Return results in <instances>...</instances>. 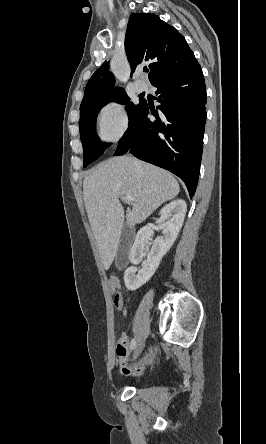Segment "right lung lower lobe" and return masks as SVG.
Instances as JSON below:
<instances>
[{
  "label": "right lung lower lobe",
  "instance_id": "1",
  "mask_svg": "<svg viewBox=\"0 0 266 444\" xmlns=\"http://www.w3.org/2000/svg\"><path fill=\"white\" fill-rule=\"evenodd\" d=\"M151 84L157 88L158 111L149 109L144 102L114 155L130 152L169 170L184 181L192 198L198 183L206 122V87L201 67L195 59ZM150 114L155 116L154 122L149 120Z\"/></svg>",
  "mask_w": 266,
  "mask_h": 444
}]
</instances>
